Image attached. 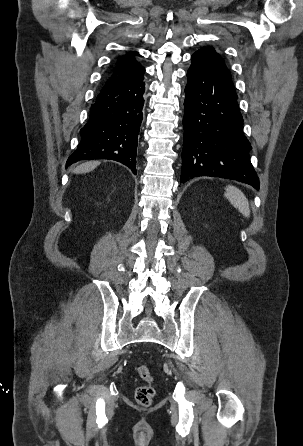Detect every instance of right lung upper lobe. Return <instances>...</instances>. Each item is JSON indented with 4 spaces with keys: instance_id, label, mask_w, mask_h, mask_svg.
Listing matches in <instances>:
<instances>
[{
    "instance_id": "cb5924a9",
    "label": "right lung upper lobe",
    "mask_w": 303,
    "mask_h": 446,
    "mask_svg": "<svg viewBox=\"0 0 303 446\" xmlns=\"http://www.w3.org/2000/svg\"><path fill=\"white\" fill-rule=\"evenodd\" d=\"M136 54L138 53L131 52L117 60L104 87L130 81L143 75L145 69L133 57Z\"/></svg>"
}]
</instances>
